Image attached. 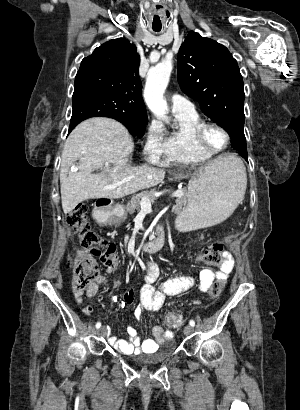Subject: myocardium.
Instances as JSON below:
<instances>
[{"instance_id": "myocardium-1", "label": "myocardium", "mask_w": 300, "mask_h": 410, "mask_svg": "<svg viewBox=\"0 0 300 410\" xmlns=\"http://www.w3.org/2000/svg\"><path fill=\"white\" fill-rule=\"evenodd\" d=\"M210 127H216L218 128L220 131L223 132V134L226 137V143L222 148L219 149H215L212 148L208 145L207 141H206V131L208 128ZM195 141L198 145V147L200 149H202L203 151H206L212 155L218 154L220 152H223L224 150H226L228 148V146L230 145L231 142V135L229 133V131L220 123L215 122V121H209V122H202L196 132H195Z\"/></svg>"}]
</instances>
